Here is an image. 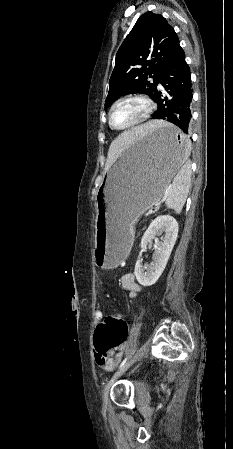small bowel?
Here are the masks:
<instances>
[{"label":"small bowel","instance_id":"obj_1","mask_svg":"<svg viewBox=\"0 0 233 449\" xmlns=\"http://www.w3.org/2000/svg\"><path fill=\"white\" fill-rule=\"evenodd\" d=\"M121 286L124 290L129 292L130 297H135L139 294L141 287L135 281L133 273H125L120 279ZM103 314L100 311H96L94 318L96 323L100 324ZM124 346L120 347L117 351H110L107 354L95 353L96 364L106 371H112L120 361L119 351L123 350Z\"/></svg>","mask_w":233,"mask_h":449}]
</instances>
